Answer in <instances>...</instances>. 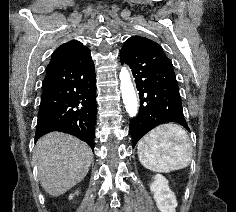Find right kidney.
<instances>
[{
  "label": "right kidney",
  "mask_w": 236,
  "mask_h": 212,
  "mask_svg": "<svg viewBox=\"0 0 236 212\" xmlns=\"http://www.w3.org/2000/svg\"><path fill=\"white\" fill-rule=\"evenodd\" d=\"M77 193H78V192H77ZM72 198H73V195H70V196H69V199H72Z\"/></svg>",
  "instance_id": "ca27d5eb"
}]
</instances>
